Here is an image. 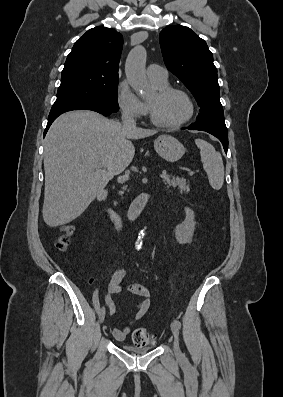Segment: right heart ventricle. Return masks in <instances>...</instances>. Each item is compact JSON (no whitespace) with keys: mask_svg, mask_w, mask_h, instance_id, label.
Instances as JSON below:
<instances>
[{"mask_svg":"<svg viewBox=\"0 0 283 397\" xmlns=\"http://www.w3.org/2000/svg\"><path fill=\"white\" fill-rule=\"evenodd\" d=\"M152 84L154 85V87L156 88V90L164 88L169 86L168 81H155V80H151ZM146 105V104H145Z\"/></svg>","mask_w":283,"mask_h":397,"instance_id":"e07e8e85","label":"right heart ventricle"}]
</instances>
